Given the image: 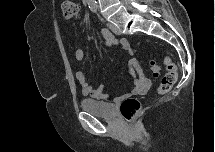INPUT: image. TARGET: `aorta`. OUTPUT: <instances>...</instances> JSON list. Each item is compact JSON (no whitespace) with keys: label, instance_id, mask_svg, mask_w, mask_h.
<instances>
[{"label":"aorta","instance_id":"obj_1","mask_svg":"<svg viewBox=\"0 0 215 152\" xmlns=\"http://www.w3.org/2000/svg\"><path fill=\"white\" fill-rule=\"evenodd\" d=\"M88 4H89V7L92 9L97 7L96 0H88Z\"/></svg>","mask_w":215,"mask_h":152}]
</instances>
